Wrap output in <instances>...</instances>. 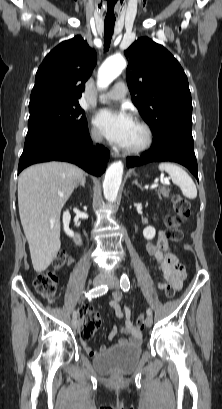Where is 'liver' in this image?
<instances>
[{
    "instance_id": "liver-1",
    "label": "liver",
    "mask_w": 222,
    "mask_h": 409,
    "mask_svg": "<svg viewBox=\"0 0 222 409\" xmlns=\"http://www.w3.org/2000/svg\"><path fill=\"white\" fill-rule=\"evenodd\" d=\"M83 175L75 165L53 161L33 165L19 176V215L38 273L48 268L60 249V213Z\"/></svg>"
}]
</instances>
